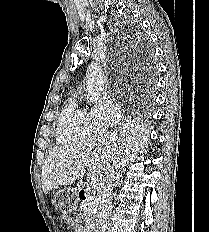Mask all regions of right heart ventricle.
I'll return each mask as SVG.
<instances>
[{"label":"right heart ventricle","mask_w":209,"mask_h":232,"mask_svg":"<svg viewBox=\"0 0 209 232\" xmlns=\"http://www.w3.org/2000/svg\"><path fill=\"white\" fill-rule=\"evenodd\" d=\"M94 133L89 113L79 106L75 96H71L59 117L58 142L74 144L91 138Z\"/></svg>","instance_id":"e07e8e85"}]
</instances>
